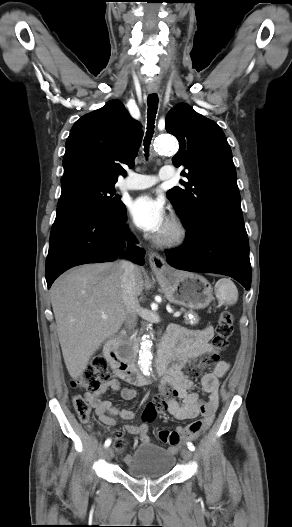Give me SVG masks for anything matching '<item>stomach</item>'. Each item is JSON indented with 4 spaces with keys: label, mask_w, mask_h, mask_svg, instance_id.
<instances>
[{
    "label": "stomach",
    "mask_w": 292,
    "mask_h": 527,
    "mask_svg": "<svg viewBox=\"0 0 292 527\" xmlns=\"http://www.w3.org/2000/svg\"><path fill=\"white\" fill-rule=\"evenodd\" d=\"M166 298L190 309H202L213 300L212 286L203 276L167 268L155 273Z\"/></svg>",
    "instance_id": "obj_1"
}]
</instances>
